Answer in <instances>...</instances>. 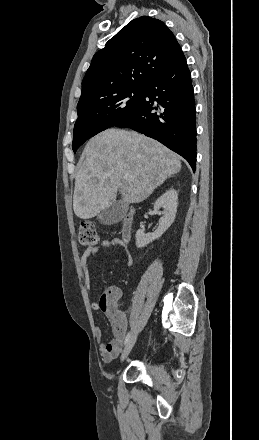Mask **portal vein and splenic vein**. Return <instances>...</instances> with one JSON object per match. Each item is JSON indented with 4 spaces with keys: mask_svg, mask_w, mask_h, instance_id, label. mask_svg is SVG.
I'll list each match as a JSON object with an SVG mask.
<instances>
[{
    "mask_svg": "<svg viewBox=\"0 0 259 440\" xmlns=\"http://www.w3.org/2000/svg\"><path fill=\"white\" fill-rule=\"evenodd\" d=\"M124 178L126 179V180H133L134 178H133V176H131V175H129V174H126L125 176H124Z\"/></svg>",
    "mask_w": 259,
    "mask_h": 440,
    "instance_id": "obj_1",
    "label": "portal vein and splenic vein"
}]
</instances>
